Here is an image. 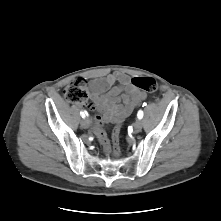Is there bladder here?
I'll return each mask as SVG.
<instances>
[{"label":"bladder","mask_w":221,"mask_h":221,"mask_svg":"<svg viewBox=\"0 0 221 221\" xmlns=\"http://www.w3.org/2000/svg\"><path fill=\"white\" fill-rule=\"evenodd\" d=\"M103 120H105V121H106V120H107V116H104Z\"/></svg>","instance_id":"1"}]
</instances>
